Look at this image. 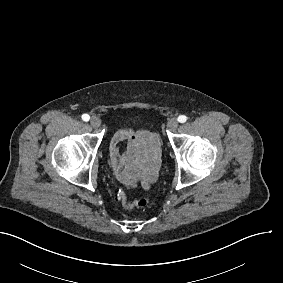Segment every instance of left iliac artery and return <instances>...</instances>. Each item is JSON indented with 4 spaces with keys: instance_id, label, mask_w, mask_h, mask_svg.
<instances>
[{
    "instance_id": "1",
    "label": "left iliac artery",
    "mask_w": 283,
    "mask_h": 283,
    "mask_svg": "<svg viewBox=\"0 0 283 283\" xmlns=\"http://www.w3.org/2000/svg\"><path fill=\"white\" fill-rule=\"evenodd\" d=\"M180 123H184L187 120V117L185 115H180L177 119Z\"/></svg>"
}]
</instances>
